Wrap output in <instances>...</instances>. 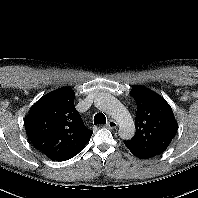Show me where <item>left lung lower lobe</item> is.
<instances>
[{"label": "left lung lower lobe", "instance_id": "obj_1", "mask_svg": "<svg viewBox=\"0 0 198 198\" xmlns=\"http://www.w3.org/2000/svg\"><path fill=\"white\" fill-rule=\"evenodd\" d=\"M134 156L138 157L139 159H148V158H152L150 156H146V155H143V154H140V153H136V152H132L130 151Z\"/></svg>", "mask_w": 198, "mask_h": 198}]
</instances>
